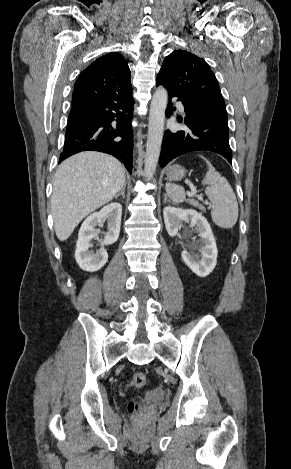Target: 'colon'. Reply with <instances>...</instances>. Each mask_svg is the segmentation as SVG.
<instances>
[{
    "label": "colon",
    "instance_id": "colon-1",
    "mask_svg": "<svg viewBox=\"0 0 291 469\" xmlns=\"http://www.w3.org/2000/svg\"><path fill=\"white\" fill-rule=\"evenodd\" d=\"M147 384V376L143 372L134 373L129 381L128 386L131 388L139 389L144 387ZM143 407L141 404L135 401H131L128 404V411L133 415H138L141 413Z\"/></svg>",
    "mask_w": 291,
    "mask_h": 469
}]
</instances>
